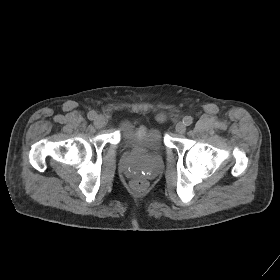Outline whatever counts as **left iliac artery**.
I'll return each instance as SVG.
<instances>
[{
  "label": "left iliac artery",
  "mask_w": 280,
  "mask_h": 280,
  "mask_svg": "<svg viewBox=\"0 0 280 280\" xmlns=\"http://www.w3.org/2000/svg\"><path fill=\"white\" fill-rule=\"evenodd\" d=\"M183 123L186 125V126H189L193 123V118L191 116H185L183 118Z\"/></svg>",
  "instance_id": "1"
}]
</instances>
